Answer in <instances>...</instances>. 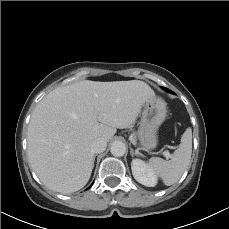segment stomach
I'll use <instances>...</instances> for the list:
<instances>
[{"label":"stomach","mask_w":229,"mask_h":229,"mask_svg":"<svg viewBox=\"0 0 229 229\" xmlns=\"http://www.w3.org/2000/svg\"><path fill=\"white\" fill-rule=\"evenodd\" d=\"M166 103L156 96L147 99L143 105L138 139L142 148L150 151L158 143V129L166 117Z\"/></svg>","instance_id":"obj_1"}]
</instances>
